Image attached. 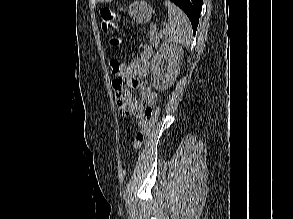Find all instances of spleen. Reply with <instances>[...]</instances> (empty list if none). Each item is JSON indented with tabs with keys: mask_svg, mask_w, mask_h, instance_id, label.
<instances>
[{
	"mask_svg": "<svg viewBox=\"0 0 293 219\" xmlns=\"http://www.w3.org/2000/svg\"><path fill=\"white\" fill-rule=\"evenodd\" d=\"M165 5L168 8V24L160 31V37L165 42L188 47L192 39V26L188 17L170 1L166 0Z\"/></svg>",
	"mask_w": 293,
	"mask_h": 219,
	"instance_id": "1",
	"label": "spleen"
}]
</instances>
